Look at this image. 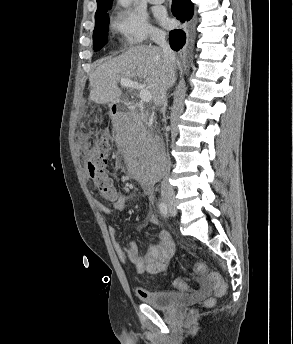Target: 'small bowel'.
<instances>
[{
    "label": "small bowel",
    "mask_w": 293,
    "mask_h": 344,
    "mask_svg": "<svg viewBox=\"0 0 293 344\" xmlns=\"http://www.w3.org/2000/svg\"><path fill=\"white\" fill-rule=\"evenodd\" d=\"M78 143L81 150H87L90 145V139L88 136L81 134L78 137ZM125 207L126 199L119 195L113 203V208L123 210ZM98 209L104 215H112V208L103 203H98ZM149 222L153 225H159V219L156 215H151ZM108 231L114 250L119 259L122 262L133 266V268L140 273H147L152 276H158L164 273L175 253V244L170 234L165 230L159 232L158 243L151 244L144 255L140 254L139 248L135 242H130L128 247L124 249L117 240L116 227L109 226ZM178 288L185 291L187 290V285L184 283L182 287ZM212 289L213 285L207 280H204L201 283L200 288L193 293L192 297L193 299H199L210 293ZM136 292L139 297L143 298L145 294L144 289L139 288Z\"/></svg>",
    "instance_id": "small-bowel-1"
}]
</instances>
